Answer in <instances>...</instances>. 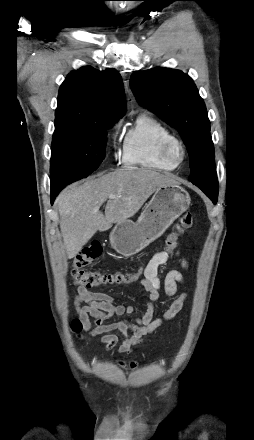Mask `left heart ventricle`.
Instances as JSON below:
<instances>
[{"instance_id":"left-heart-ventricle-1","label":"left heart ventricle","mask_w":254,"mask_h":440,"mask_svg":"<svg viewBox=\"0 0 254 440\" xmlns=\"http://www.w3.org/2000/svg\"><path fill=\"white\" fill-rule=\"evenodd\" d=\"M173 154H174L176 159H179L181 157V152H180V150L178 148H174Z\"/></svg>"}]
</instances>
